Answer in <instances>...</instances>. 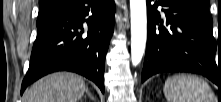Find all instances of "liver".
Returning <instances> with one entry per match:
<instances>
[{
    "label": "liver",
    "mask_w": 221,
    "mask_h": 102,
    "mask_svg": "<svg viewBox=\"0 0 221 102\" xmlns=\"http://www.w3.org/2000/svg\"><path fill=\"white\" fill-rule=\"evenodd\" d=\"M86 91L83 78L69 72L50 74L33 84L23 102H77Z\"/></svg>",
    "instance_id": "6515ba94"
}]
</instances>
